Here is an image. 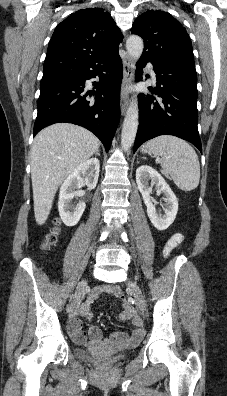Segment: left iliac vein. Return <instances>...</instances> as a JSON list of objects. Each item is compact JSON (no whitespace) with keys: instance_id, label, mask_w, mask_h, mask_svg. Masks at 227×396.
<instances>
[{"instance_id":"4c4485c4","label":"left iliac vein","mask_w":227,"mask_h":396,"mask_svg":"<svg viewBox=\"0 0 227 396\" xmlns=\"http://www.w3.org/2000/svg\"><path fill=\"white\" fill-rule=\"evenodd\" d=\"M128 286L132 289L135 301L142 313L145 312V300L139 286L134 282H128Z\"/></svg>"}]
</instances>
